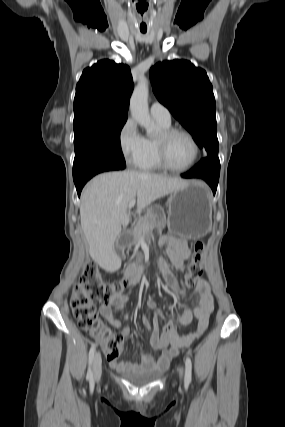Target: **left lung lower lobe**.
<instances>
[{
    "label": "left lung lower lobe",
    "instance_id": "obj_1",
    "mask_svg": "<svg viewBox=\"0 0 285 427\" xmlns=\"http://www.w3.org/2000/svg\"><path fill=\"white\" fill-rule=\"evenodd\" d=\"M220 174V161L218 156H207L202 159L192 170L181 174L183 178H202L212 188L215 194Z\"/></svg>",
    "mask_w": 285,
    "mask_h": 427
}]
</instances>
